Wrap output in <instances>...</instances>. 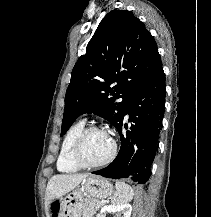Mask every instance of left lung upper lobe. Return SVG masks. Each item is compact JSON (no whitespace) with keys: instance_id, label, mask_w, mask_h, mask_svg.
Returning a JSON list of instances; mask_svg holds the SVG:
<instances>
[{"instance_id":"1","label":"left lung upper lobe","mask_w":211,"mask_h":217,"mask_svg":"<svg viewBox=\"0 0 211 217\" xmlns=\"http://www.w3.org/2000/svg\"><path fill=\"white\" fill-rule=\"evenodd\" d=\"M161 67L154 37L145 25L130 11H110L72 70L61 136L83 113L116 126L133 93Z\"/></svg>"}]
</instances>
